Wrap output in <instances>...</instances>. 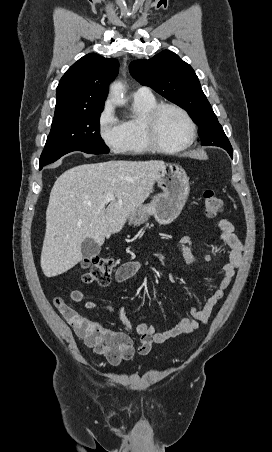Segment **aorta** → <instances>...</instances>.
Instances as JSON below:
<instances>
[{
	"instance_id": "aorta-1",
	"label": "aorta",
	"mask_w": 272,
	"mask_h": 452,
	"mask_svg": "<svg viewBox=\"0 0 272 452\" xmlns=\"http://www.w3.org/2000/svg\"><path fill=\"white\" fill-rule=\"evenodd\" d=\"M124 87L120 82H115L110 87V100L116 105L125 104V99L123 97Z\"/></svg>"
}]
</instances>
